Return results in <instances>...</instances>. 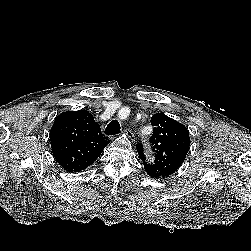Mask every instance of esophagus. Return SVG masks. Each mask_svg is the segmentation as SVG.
Masks as SVG:
<instances>
[{"instance_id": "34e87169", "label": "esophagus", "mask_w": 251, "mask_h": 251, "mask_svg": "<svg viewBox=\"0 0 251 251\" xmlns=\"http://www.w3.org/2000/svg\"><path fill=\"white\" fill-rule=\"evenodd\" d=\"M124 133L128 136V138L131 140V141H134V133L132 130L130 129H125L124 130Z\"/></svg>"}]
</instances>
